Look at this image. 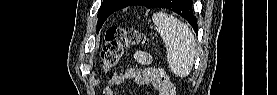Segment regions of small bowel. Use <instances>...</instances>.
I'll list each match as a JSON object with an SVG mask.
<instances>
[{
    "label": "small bowel",
    "mask_w": 277,
    "mask_h": 95,
    "mask_svg": "<svg viewBox=\"0 0 277 95\" xmlns=\"http://www.w3.org/2000/svg\"><path fill=\"white\" fill-rule=\"evenodd\" d=\"M135 62L141 65L140 68L131 67L126 72L114 75L110 78L109 83L113 86L123 85L133 79L136 82L149 85L151 88L159 91V95H172L170 92L171 84L157 83L156 75L153 71L152 57L147 52L137 51L134 54ZM114 94L112 89L105 87L103 95Z\"/></svg>",
    "instance_id": "c3829d8e"
}]
</instances>
